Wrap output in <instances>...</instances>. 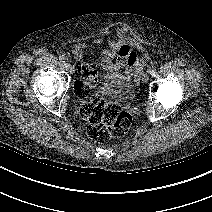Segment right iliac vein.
Listing matches in <instances>:
<instances>
[{
    "instance_id": "63e3f726",
    "label": "right iliac vein",
    "mask_w": 212,
    "mask_h": 212,
    "mask_svg": "<svg viewBox=\"0 0 212 212\" xmlns=\"http://www.w3.org/2000/svg\"><path fill=\"white\" fill-rule=\"evenodd\" d=\"M64 66H65V68H66L67 70H70V69H71V65H70V63H69L68 61H66V62L64 63Z\"/></svg>"
}]
</instances>
